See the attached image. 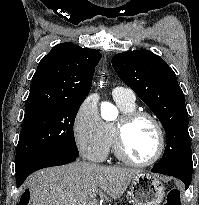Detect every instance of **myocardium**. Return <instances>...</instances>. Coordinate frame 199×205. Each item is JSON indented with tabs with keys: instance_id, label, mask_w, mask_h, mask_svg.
<instances>
[{
	"instance_id": "f54148a6",
	"label": "myocardium",
	"mask_w": 199,
	"mask_h": 205,
	"mask_svg": "<svg viewBox=\"0 0 199 205\" xmlns=\"http://www.w3.org/2000/svg\"><path fill=\"white\" fill-rule=\"evenodd\" d=\"M146 118L155 126L158 133V146L152 158L146 161H137L131 158L124 147L125 130L136 120ZM113 146L115 154L125 164L135 167H147L157 162L163 155L166 146V136L164 128L159 119L150 112L133 110L122 113L119 119L113 125Z\"/></svg>"
}]
</instances>
